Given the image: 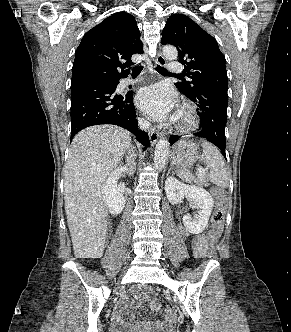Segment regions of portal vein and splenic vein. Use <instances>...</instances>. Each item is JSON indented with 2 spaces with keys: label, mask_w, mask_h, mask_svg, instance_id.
<instances>
[{
  "label": "portal vein and splenic vein",
  "mask_w": 291,
  "mask_h": 332,
  "mask_svg": "<svg viewBox=\"0 0 291 332\" xmlns=\"http://www.w3.org/2000/svg\"><path fill=\"white\" fill-rule=\"evenodd\" d=\"M205 172H206V169H204V168H202V167H199V168H198V173H197V175H198V176L204 175Z\"/></svg>",
  "instance_id": "obj_1"
}]
</instances>
